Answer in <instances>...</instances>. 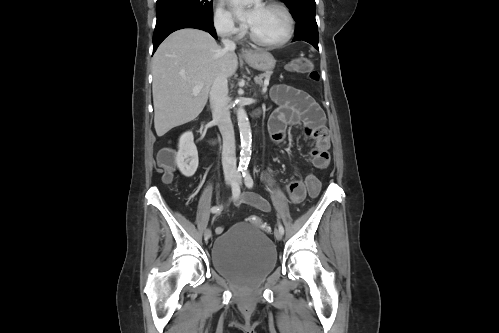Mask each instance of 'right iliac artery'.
<instances>
[{"label":"right iliac artery","instance_id":"82829eb1","mask_svg":"<svg viewBox=\"0 0 499 333\" xmlns=\"http://www.w3.org/2000/svg\"><path fill=\"white\" fill-rule=\"evenodd\" d=\"M240 171V169L238 170ZM240 195V187L236 181H233L232 184V199H236ZM222 209V206H214L211 208L212 213H219Z\"/></svg>","mask_w":499,"mask_h":333}]
</instances>
